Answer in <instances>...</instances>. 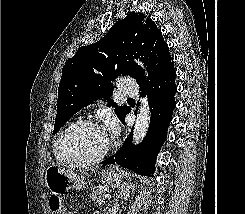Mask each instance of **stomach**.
I'll return each mask as SVG.
<instances>
[{"label": "stomach", "mask_w": 245, "mask_h": 214, "mask_svg": "<svg viewBox=\"0 0 245 214\" xmlns=\"http://www.w3.org/2000/svg\"><path fill=\"white\" fill-rule=\"evenodd\" d=\"M101 182L105 187L116 188L125 183L124 172L118 168H108L101 172ZM45 184L54 195H61L70 190H80L85 187L84 177L72 170L63 169L57 165H50L45 172Z\"/></svg>", "instance_id": "1"}]
</instances>
